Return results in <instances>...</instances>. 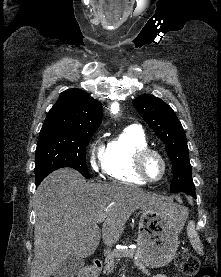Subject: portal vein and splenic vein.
Wrapping results in <instances>:
<instances>
[{"mask_svg":"<svg viewBox=\"0 0 221 277\" xmlns=\"http://www.w3.org/2000/svg\"><path fill=\"white\" fill-rule=\"evenodd\" d=\"M105 220V217H101L97 220V223H102Z\"/></svg>","mask_w":221,"mask_h":277,"instance_id":"18ae733b","label":"portal vein and splenic vein"}]
</instances>
